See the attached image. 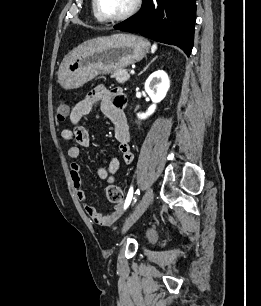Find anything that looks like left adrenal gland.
I'll return each instance as SVG.
<instances>
[{
	"label": "left adrenal gland",
	"instance_id": "1",
	"mask_svg": "<svg viewBox=\"0 0 261 306\" xmlns=\"http://www.w3.org/2000/svg\"><path fill=\"white\" fill-rule=\"evenodd\" d=\"M154 60H155V58H154L145 68H144L143 71H145V70L150 66V64H151ZM143 71H142V72H143ZM142 72H141V73H142Z\"/></svg>",
	"mask_w": 261,
	"mask_h": 306
}]
</instances>
